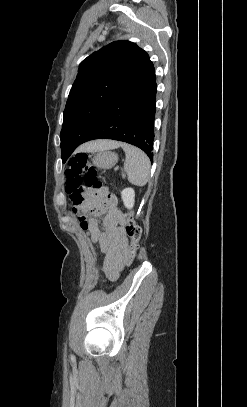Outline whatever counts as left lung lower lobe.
Instances as JSON below:
<instances>
[{
    "label": "left lung lower lobe",
    "mask_w": 247,
    "mask_h": 407,
    "mask_svg": "<svg viewBox=\"0 0 247 407\" xmlns=\"http://www.w3.org/2000/svg\"><path fill=\"white\" fill-rule=\"evenodd\" d=\"M156 89L154 66L150 62L111 101L82 143L102 138L127 142L142 149L152 161Z\"/></svg>",
    "instance_id": "0a47b994"
}]
</instances>
